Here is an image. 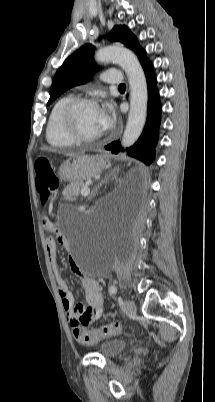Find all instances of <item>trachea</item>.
<instances>
[{
  "mask_svg": "<svg viewBox=\"0 0 215 402\" xmlns=\"http://www.w3.org/2000/svg\"><path fill=\"white\" fill-rule=\"evenodd\" d=\"M118 88H126L125 84H120Z\"/></svg>",
  "mask_w": 215,
  "mask_h": 402,
  "instance_id": "1",
  "label": "trachea"
}]
</instances>
